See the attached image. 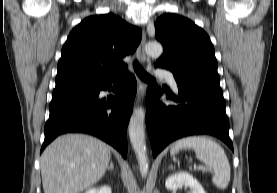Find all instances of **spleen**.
<instances>
[{"mask_svg": "<svg viewBox=\"0 0 277 193\" xmlns=\"http://www.w3.org/2000/svg\"><path fill=\"white\" fill-rule=\"evenodd\" d=\"M182 149H193L196 158L212 168V182L225 190L230 182V164L223 148L205 136H190L176 141L170 154L175 155Z\"/></svg>", "mask_w": 277, "mask_h": 193, "instance_id": "1", "label": "spleen"}]
</instances>
